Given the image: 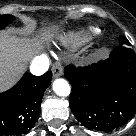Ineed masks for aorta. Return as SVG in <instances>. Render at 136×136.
<instances>
[{"mask_svg":"<svg viewBox=\"0 0 136 136\" xmlns=\"http://www.w3.org/2000/svg\"><path fill=\"white\" fill-rule=\"evenodd\" d=\"M53 90L58 96L66 97L70 94L69 83L62 78L56 79L53 82Z\"/></svg>","mask_w":136,"mask_h":136,"instance_id":"762f6f07","label":"aorta"}]
</instances>
